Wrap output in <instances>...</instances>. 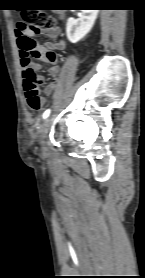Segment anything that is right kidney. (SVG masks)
Wrapping results in <instances>:
<instances>
[{"instance_id":"right-kidney-1","label":"right kidney","mask_w":145,"mask_h":278,"mask_svg":"<svg viewBox=\"0 0 145 278\" xmlns=\"http://www.w3.org/2000/svg\"><path fill=\"white\" fill-rule=\"evenodd\" d=\"M99 10H82L78 19L68 18L66 24L67 38L71 43H77L92 29Z\"/></svg>"}]
</instances>
